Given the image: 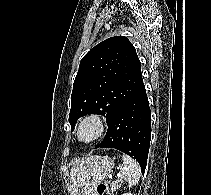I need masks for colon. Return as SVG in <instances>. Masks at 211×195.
Returning <instances> with one entry per match:
<instances>
[{
  "mask_svg": "<svg viewBox=\"0 0 211 195\" xmlns=\"http://www.w3.org/2000/svg\"><path fill=\"white\" fill-rule=\"evenodd\" d=\"M96 191L99 195H103L104 193H110L109 188L104 183H99L96 187Z\"/></svg>",
  "mask_w": 211,
  "mask_h": 195,
  "instance_id": "5ec220e1",
  "label": "colon"
}]
</instances>
